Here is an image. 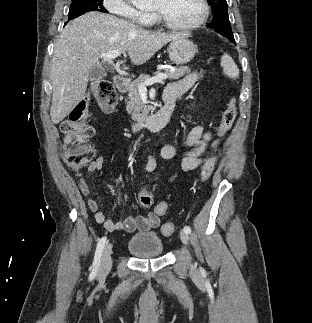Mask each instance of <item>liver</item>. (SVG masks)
<instances>
[{
  "mask_svg": "<svg viewBox=\"0 0 312 323\" xmlns=\"http://www.w3.org/2000/svg\"><path fill=\"white\" fill-rule=\"evenodd\" d=\"M182 34L148 32L128 20L110 14L89 12L71 20L56 36L51 62L53 88L50 116L59 124L81 102L88 86V74L99 62L100 54L118 50L136 66L145 64L167 42Z\"/></svg>",
  "mask_w": 312,
  "mask_h": 323,
  "instance_id": "6515ba94",
  "label": "liver"
}]
</instances>
